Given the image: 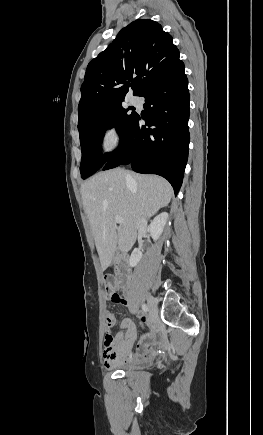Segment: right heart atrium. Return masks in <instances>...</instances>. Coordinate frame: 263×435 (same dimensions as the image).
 Instances as JSON below:
<instances>
[{"instance_id": "d8ad5b80", "label": "right heart atrium", "mask_w": 263, "mask_h": 435, "mask_svg": "<svg viewBox=\"0 0 263 435\" xmlns=\"http://www.w3.org/2000/svg\"><path fill=\"white\" fill-rule=\"evenodd\" d=\"M122 132L117 124L108 125L102 132L100 147L103 153L113 154L121 145Z\"/></svg>"}]
</instances>
